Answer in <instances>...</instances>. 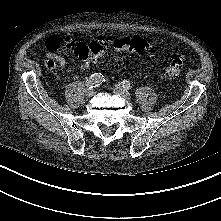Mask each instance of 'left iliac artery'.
Instances as JSON below:
<instances>
[{
    "label": "left iliac artery",
    "instance_id": "44dca946",
    "mask_svg": "<svg viewBox=\"0 0 221 221\" xmlns=\"http://www.w3.org/2000/svg\"><path fill=\"white\" fill-rule=\"evenodd\" d=\"M122 86H123V88H125V89H129V88L131 87V84H130V82H129L128 80H124V81L122 82Z\"/></svg>",
    "mask_w": 221,
    "mask_h": 221
}]
</instances>
